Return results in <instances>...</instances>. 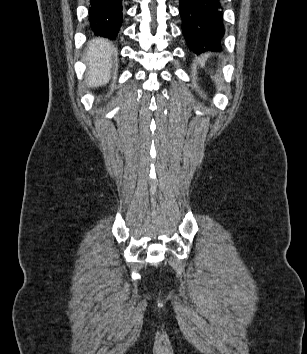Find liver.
I'll use <instances>...</instances> for the list:
<instances>
[{
    "label": "liver",
    "instance_id": "liver-1",
    "mask_svg": "<svg viewBox=\"0 0 307 354\" xmlns=\"http://www.w3.org/2000/svg\"><path fill=\"white\" fill-rule=\"evenodd\" d=\"M113 53L114 49L107 40L97 38L90 41L84 56L88 65L86 83L89 87H99L109 81Z\"/></svg>",
    "mask_w": 307,
    "mask_h": 354
}]
</instances>
